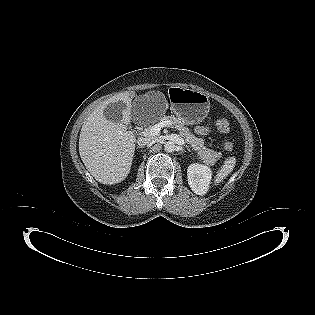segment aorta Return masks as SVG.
<instances>
[{
	"label": "aorta",
	"instance_id": "aorta-1",
	"mask_svg": "<svg viewBox=\"0 0 315 315\" xmlns=\"http://www.w3.org/2000/svg\"><path fill=\"white\" fill-rule=\"evenodd\" d=\"M176 149V145L173 141H167L164 143V150L166 152H174Z\"/></svg>",
	"mask_w": 315,
	"mask_h": 315
}]
</instances>
